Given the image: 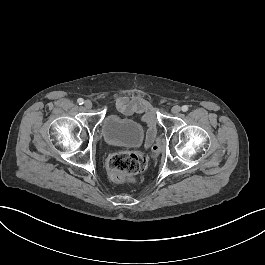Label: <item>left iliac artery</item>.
Returning <instances> with one entry per match:
<instances>
[{"instance_id":"obj_1","label":"left iliac artery","mask_w":265,"mask_h":265,"mask_svg":"<svg viewBox=\"0 0 265 265\" xmlns=\"http://www.w3.org/2000/svg\"><path fill=\"white\" fill-rule=\"evenodd\" d=\"M181 109H182L183 112H186V111H188V106L187 105H183Z\"/></svg>"}]
</instances>
